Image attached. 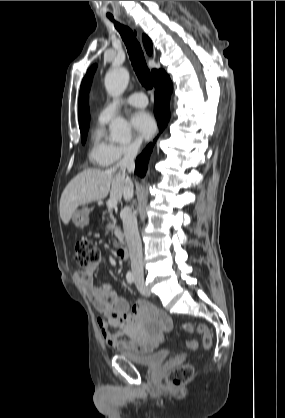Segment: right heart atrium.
Here are the masks:
<instances>
[{
  "label": "right heart atrium",
  "mask_w": 285,
  "mask_h": 418,
  "mask_svg": "<svg viewBox=\"0 0 285 418\" xmlns=\"http://www.w3.org/2000/svg\"><path fill=\"white\" fill-rule=\"evenodd\" d=\"M140 144L138 141H132L127 144L115 145L112 150L110 164H117L121 161L130 159L138 154Z\"/></svg>",
  "instance_id": "1"
}]
</instances>
